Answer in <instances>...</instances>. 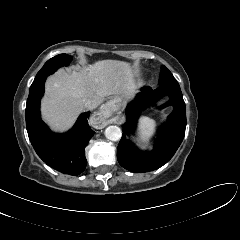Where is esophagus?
Segmentation results:
<instances>
[{
    "label": "esophagus",
    "instance_id": "1",
    "mask_svg": "<svg viewBox=\"0 0 240 240\" xmlns=\"http://www.w3.org/2000/svg\"><path fill=\"white\" fill-rule=\"evenodd\" d=\"M113 112H114V103L110 101L97 114V120L102 126H106L112 122V120L109 118L112 116Z\"/></svg>",
    "mask_w": 240,
    "mask_h": 240
}]
</instances>
